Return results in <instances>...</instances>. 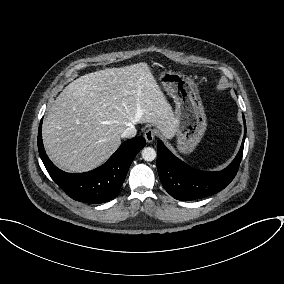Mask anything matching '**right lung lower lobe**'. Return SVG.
I'll list each match as a JSON object with an SVG mask.
<instances>
[{
  "label": "right lung lower lobe",
  "instance_id": "98d812e1",
  "mask_svg": "<svg viewBox=\"0 0 284 284\" xmlns=\"http://www.w3.org/2000/svg\"><path fill=\"white\" fill-rule=\"evenodd\" d=\"M40 122L38 150L40 157L54 182L72 199L98 204L114 198L119 192L128 169L136 154L146 145L143 137L124 142L102 166L79 174L66 173L58 169L45 153Z\"/></svg>",
  "mask_w": 284,
  "mask_h": 284
}]
</instances>
